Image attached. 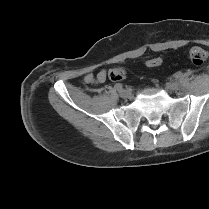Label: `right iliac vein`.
<instances>
[{"label": "right iliac vein", "mask_w": 209, "mask_h": 209, "mask_svg": "<svg viewBox=\"0 0 209 209\" xmlns=\"http://www.w3.org/2000/svg\"><path fill=\"white\" fill-rule=\"evenodd\" d=\"M119 95L122 98H130L131 97V93L127 90H120Z\"/></svg>", "instance_id": "1"}]
</instances>
